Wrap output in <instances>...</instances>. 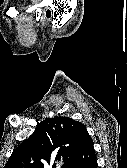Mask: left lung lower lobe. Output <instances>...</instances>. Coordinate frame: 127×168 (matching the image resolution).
Segmentation results:
<instances>
[{
    "label": "left lung lower lobe",
    "instance_id": "obj_1",
    "mask_svg": "<svg viewBox=\"0 0 127 168\" xmlns=\"http://www.w3.org/2000/svg\"><path fill=\"white\" fill-rule=\"evenodd\" d=\"M74 168H97V160L93 140L89 136L83 143Z\"/></svg>",
    "mask_w": 127,
    "mask_h": 168
}]
</instances>
